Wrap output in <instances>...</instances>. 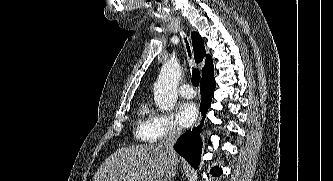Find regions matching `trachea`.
Segmentation results:
<instances>
[{
    "mask_svg": "<svg viewBox=\"0 0 333 181\" xmlns=\"http://www.w3.org/2000/svg\"><path fill=\"white\" fill-rule=\"evenodd\" d=\"M186 47H187V50H188L189 57H191L190 47H189V44L187 42H186ZM199 82H200V72H199L198 69H193L192 70V83L195 87H198Z\"/></svg>",
    "mask_w": 333,
    "mask_h": 181,
    "instance_id": "1",
    "label": "trachea"
}]
</instances>
